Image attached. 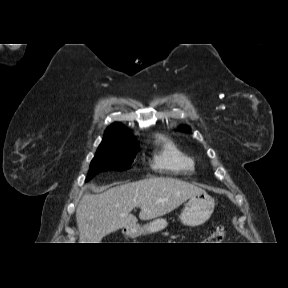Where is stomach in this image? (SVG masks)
I'll use <instances>...</instances> for the list:
<instances>
[{
  "label": "stomach",
  "mask_w": 288,
  "mask_h": 288,
  "mask_svg": "<svg viewBox=\"0 0 288 288\" xmlns=\"http://www.w3.org/2000/svg\"><path fill=\"white\" fill-rule=\"evenodd\" d=\"M214 199L204 190L188 199L181 213L180 220L187 226H199L205 223L214 211ZM167 226L165 219H155L144 226L125 228L123 231L129 237H138L163 230Z\"/></svg>",
  "instance_id": "1"
}]
</instances>
